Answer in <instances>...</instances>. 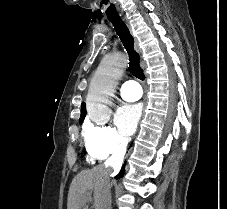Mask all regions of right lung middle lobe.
I'll use <instances>...</instances> for the list:
<instances>
[{"label": "right lung middle lobe", "mask_w": 227, "mask_h": 209, "mask_svg": "<svg viewBox=\"0 0 227 209\" xmlns=\"http://www.w3.org/2000/svg\"><path fill=\"white\" fill-rule=\"evenodd\" d=\"M83 120H84V119H80V124H82Z\"/></svg>", "instance_id": "obj_1"}]
</instances>
